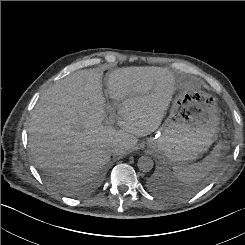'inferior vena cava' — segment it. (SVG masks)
I'll use <instances>...</instances> for the list:
<instances>
[{
  "mask_svg": "<svg viewBox=\"0 0 245 245\" xmlns=\"http://www.w3.org/2000/svg\"><path fill=\"white\" fill-rule=\"evenodd\" d=\"M111 146L110 145H107L106 148H110Z\"/></svg>",
  "mask_w": 245,
  "mask_h": 245,
  "instance_id": "obj_1",
  "label": "inferior vena cava"
}]
</instances>
